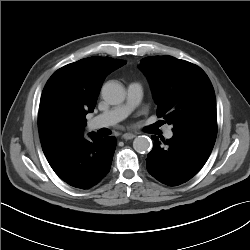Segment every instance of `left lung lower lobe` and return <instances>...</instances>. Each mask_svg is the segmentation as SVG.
Wrapping results in <instances>:
<instances>
[{"mask_svg":"<svg viewBox=\"0 0 250 250\" xmlns=\"http://www.w3.org/2000/svg\"><path fill=\"white\" fill-rule=\"evenodd\" d=\"M217 131H177L171 139L161 141L156 136L147 155L148 172L158 181L177 186L191 179L203 167L211 154Z\"/></svg>","mask_w":250,"mask_h":250,"instance_id":"1","label":"left lung lower lobe"}]
</instances>
